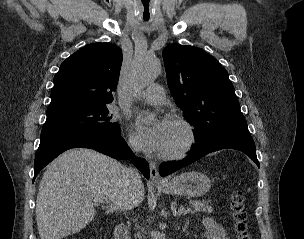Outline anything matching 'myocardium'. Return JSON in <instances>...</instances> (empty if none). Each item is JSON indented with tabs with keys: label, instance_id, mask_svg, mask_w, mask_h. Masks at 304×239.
I'll return each mask as SVG.
<instances>
[{
	"label": "myocardium",
	"instance_id": "obj_1",
	"mask_svg": "<svg viewBox=\"0 0 304 239\" xmlns=\"http://www.w3.org/2000/svg\"><path fill=\"white\" fill-rule=\"evenodd\" d=\"M172 123L179 126L183 132V142L176 148L164 151L161 158L165 160H176L183 158L194 148L197 142V132L195 126L185 118L176 117Z\"/></svg>",
	"mask_w": 304,
	"mask_h": 239
}]
</instances>
